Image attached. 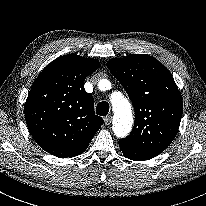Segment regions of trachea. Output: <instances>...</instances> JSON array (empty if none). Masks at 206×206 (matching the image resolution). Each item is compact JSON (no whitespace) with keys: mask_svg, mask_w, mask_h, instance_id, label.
<instances>
[{"mask_svg":"<svg viewBox=\"0 0 206 206\" xmlns=\"http://www.w3.org/2000/svg\"><path fill=\"white\" fill-rule=\"evenodd\" d=\"M109 112V104L105 101L99 102L96 107V113L100 116H106Z\"/></svg>","mask_w":206,"mask_h":206,"instance_id":"1","label":"trachea"}]
</instances>
